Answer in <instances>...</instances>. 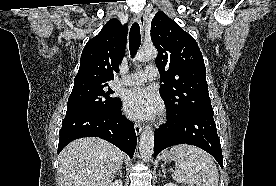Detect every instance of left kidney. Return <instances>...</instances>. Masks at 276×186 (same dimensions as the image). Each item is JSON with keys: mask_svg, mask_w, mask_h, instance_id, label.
Segmentation results:
<instances>
[{"mask_svg": "<svg viewBox=\"0 0 276 186\" xmlns=\"http://www.w3.org/2000/svg\"><path fill=\"white\" fill-rule=\"evenodd\" d=\"M164 186H178V185L173 184V183H166Z\"/></svg>", "mask_w": 276, "mask_h": 186, "instance_id": "5707ae66", "label": "left kidney"}]
</instances>
